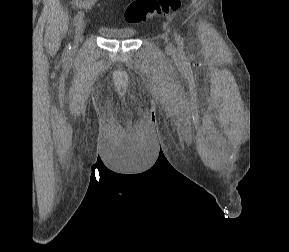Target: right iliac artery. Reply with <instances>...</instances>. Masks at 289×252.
Returning a JSON list of instances; mask_svg holds the SVG:
<instances>
[{"instance_id":"82829eb1","label":"right iliac artery","mask_w":289,"mask_h":252,"mask_svg":"<svg viewBox=\"0 0 289 252\" xmlns=\"http://www.w3.org/2000/svg\"><path fill=\"white\" fill-rule=\"evenodd\" d=\"M83 16H84V13L82 11H79L74 17V21H73L74 25H76L83 18ZM70 49H71V46L68 45L65 49V53L68 54Z\"/></svg>"}]
</instances>
